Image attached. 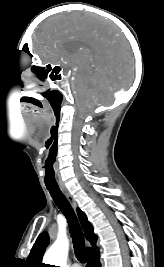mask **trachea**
Here are the masks:
<instances>
[{"label": "trachea", "instance_id": "trachea-1", "mask_svg": "<svg viewBox=\"0 0 164 267\" xmlns=\"http://www.w3.org/2000/svg\"><path fill=\"white\" fill-rule=\"evenodd\" d=\"M47 189L49 190L54 202L67 219L77 259L80 262L85 263L86 255L84 237L74 210L59 187L47 186Z\"/></svg>", "mask_w": 164, "mask_h": 267}]
</instances>
